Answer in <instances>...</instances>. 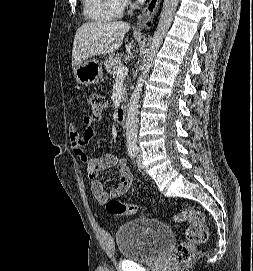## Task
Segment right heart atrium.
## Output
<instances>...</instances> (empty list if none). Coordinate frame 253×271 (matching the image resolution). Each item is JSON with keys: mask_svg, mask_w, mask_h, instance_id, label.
<instances>
[{"mask_svg": "<svg viewBox=\"0 0 253 271\" xmlns=\"http://www.w3.org/2000/svg\"><path fill=\"white\" fill-rule=\"evenodd\" d=\"M122 2H123V4H124V6H126V5L129 4L130 0H122Z\"/></svg>", "mask_w": 253, "mask_h": 271, "instance_id": "1", "label": "right heart atrium"}]
</instances>
